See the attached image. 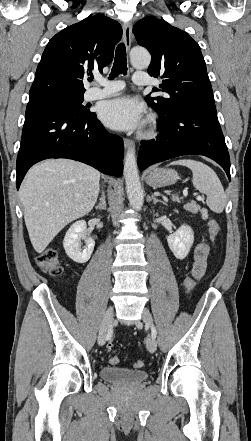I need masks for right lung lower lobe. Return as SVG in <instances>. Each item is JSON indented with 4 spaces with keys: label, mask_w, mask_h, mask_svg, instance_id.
<instances>
[{
    "label": "right lung lower lobe",
    "mask_w": 251,
    "mask_h": 441,
    "mask_svg": "<svg viewBox=\"0 0 251 441\" xmlns=\"http://www.w3.org/2000/svg\"><path fill=\"white\" fill-rule=\"evenodd\" d=\"M124 145L110 134L94 112L79 116L60 108L29 102L16 165V187L29 168L48 158H68L104 174L122 175Z\"/></svg>",
    "instance_id": "right-lung-lower-lobe-1"
}]
</instances>
